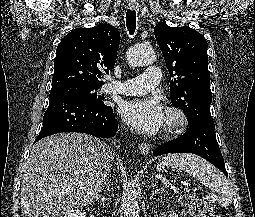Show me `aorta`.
<instances>
[{"instance_id":"obj_1","label":"aorta","mask_w":255,"mask_h":217,"mask_svg":"<svg viewBox=\"0 0 255 217\" xmlns=\"http://www.w3.org/2000/svg\"><path fill=\"white\" fill-rule=\"evenodd\" d=\"M126 58L131 67H138L153 63L156 56L152 48L133 46L128 49ZM124 217H140L139 204L133 189L128 191L124 200Z\"/></svg>"}]
</instances>
